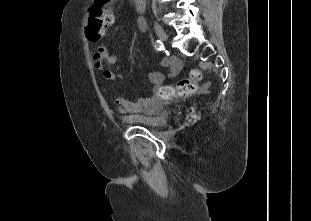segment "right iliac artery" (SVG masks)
<instances>
[{"label": "right iliac artery", "instance_id": "obj_1", "mask_svg": "<svg viewBox=\"0 0 311 221\" xmlns=\"http://www.w3.org/2000/svg\"><path fill=\"white\" fill-rule=\"evenodd\" d=\"M154 47L156 51H160L163 49V43L160 40H156L154 43Z\"/></svg>", "mask_w": 311, "mask_h": 221}]
</instances>
